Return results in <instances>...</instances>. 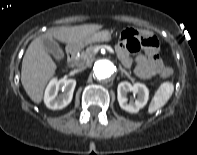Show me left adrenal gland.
Segmentation results:
<instances>
[{
  "label": "left adrenal gland",
  "instance_id": "left-adrenal-gland-1",
  "mask_svg": "<svg viewBox=\"0 0 197 155\" xmlns=\"http://www.w3.org/2000/svg\"><path fill=\"white\" fill-rule=\"evenodd\" d=\"M120 71H121L122 73H124L129 79H131L130 74H129L125 69H123L122 67H120Z\"/></svg>",
  "mask_w": 197,
  "mask_h": 155
}]
</instances>
